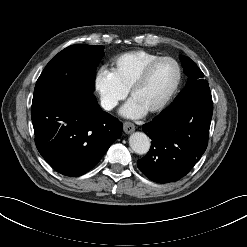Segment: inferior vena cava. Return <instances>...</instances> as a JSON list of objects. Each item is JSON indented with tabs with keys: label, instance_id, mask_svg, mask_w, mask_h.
<instances>
[{
	"label": "inferior vena cava",
	"instance_id": "602c4592",
	"mask_svg": "<svg viewBox=\"0 0 247 247\" xmlns=\"http://www.w3.org/2000/svg\"><path fill=\"white\" fill-rule=\"evenodd\" d=\"M101 106L105 110H112L116 106V102H113V101H101Z\"/></svg>",
	"mask_w": 247,
	"mask_h": 247
}]
</instances>
